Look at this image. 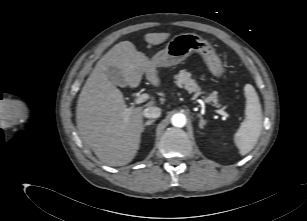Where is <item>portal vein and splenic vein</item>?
<instances>
[{"label": "portal vein and splenic vein", "mask_w": 307, "mask_h": 221, "mask_svg": "<svg viewBox=\"0 0 307 221\" xmlns=\"http://www.w3.org/2000/svg\"><path fill=\"white\" fill-rule=\"evenodd\" d=\"M149 98H150V95L147 94V93H143V94H141V95H138V96L135 98V100H134V102L132 103V105L134 106V105L141 104V103L147 101ZM133 106H132V107H133ZM215 112L218 113V114H220V115H222V116H224L225 118L228 117V114H227L225 111L221 110V109L215 110Z\"/></svg>", "instance_id": "1"}]
</instances>
